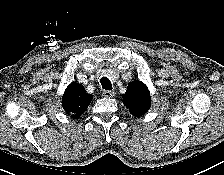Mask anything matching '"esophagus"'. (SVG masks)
Returning <instances> with one entry per match:
<instances>
[{"mask_svg": "<svg viewBox=\"0 0 224 175\" xmlns=\"http://www.w3.org/2000/svg\"><path fill=\"white\" fill-rule=\"evenodd\" d=\"M102 96L106 97V98H112L114 96V92L113 91L104 90L102 92Z\"/></svg>", "mask_w": 224, "mask_h": 175, "instance_id": "1", "label": "esophagus"}]
</instances>
